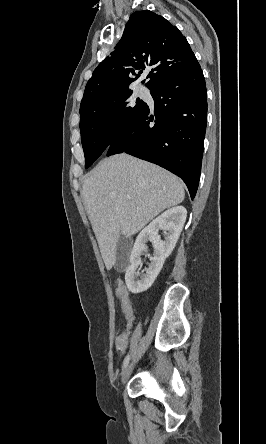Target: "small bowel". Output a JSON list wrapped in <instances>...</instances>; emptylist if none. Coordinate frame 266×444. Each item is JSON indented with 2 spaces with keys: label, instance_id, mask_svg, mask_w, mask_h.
<instances>
[{
  "label": "small bowel",
  "instance_id": "obj_1",
  "mask_svg": "<svg viewBox=\"0 0 266 444\" xmlns=\"http://www.w3.org/2000/svg\"><path fill=\"white\" fill-rule=\"evenodd\" d=\"M114 293L120 300L122 312L127 322L126 328L121 331L116 338V346L119 351H122L127 347L131 329L135 322V313L132 306L130 293L122 281H116Z\"/></svg>",
  "mask_w": 266,
  "mask_h": 444
}]
</instances>
